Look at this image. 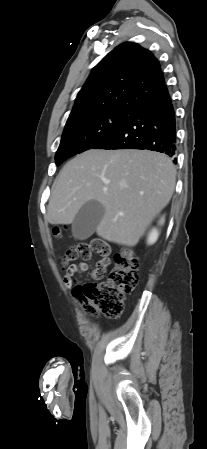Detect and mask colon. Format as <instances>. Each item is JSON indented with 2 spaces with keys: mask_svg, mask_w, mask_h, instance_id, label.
Masks as SVG:
<instances>
[{
  "mask_svg": "<svg viewBox=\"0 0 207 449\" xmlns=\"http://www.w3.org/2000/svg\"><path fill=\"white\" fill-rule=\"evenodd\" d=\"M53 232L57 235L60 229L54 227ZM93 253L102 257L93 271V278L100 280L111 263V249L101 239L81 242L71 247L64 255V263L78 258L88 261L92 258ZM138 269L139 261L132 250L123 248L114 255V267L107 280L78 284L74 287L73 294L83 303L87 313L117 318L123 310L124 296L132 292L138 284Z\"/></svg>",
  "mask_w": 207,
  "mask_h": 449,
  "instance_id": "obj_1",
  "label": "colon"
}]
</instances>
